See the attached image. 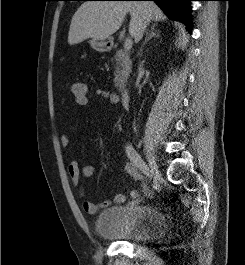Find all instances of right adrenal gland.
<instances>
[{
    "label": "right adrenal gland",
    "instance_id": "2a0ac1e0",
    "mask_svg": "<svg viewBox=\"0 0 245 265\" xmlns=\"http://www.w3.org/2000/svg\"><path fill=\"white\" fill-rule=\"evenodd\" d=\"M155 24H153V26L151 27V31L150 33L147 35V38L145 39V42L143 44V46L153 37H160V32L155 30Z\"/></svg>",
    "mask_w": 245,
    "mask_h": 265
}]
</instances>
